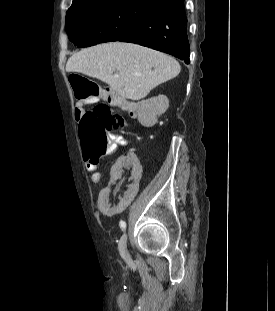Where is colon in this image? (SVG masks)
Returning a JSON list of instances; mask_svg holds the SVG:
<instances>
[{
    "label": "colon",
    "instance_id": "obj_1",
    "mask_svg": "<svg viewBox=\"0 0 275 311\" xmlns=\"http://www.w3.org/2000/svg\"><path fill=\"white\" fill-rule=\"evenodd\" d=\"M70 82L77 102L98 104L94 109L85 111L79 120L80 138L87 157L96 160L115 150L111 132L123 127L125 118L111 107V100L126 103L131 111H137L143 123L149 125L153 122V116L146 114L139 106L123 100L111 90L104 91L85 76L71 74ZM100 97L104 99V102L99 104Z\"/></svg>",
    "mask_w": 275,
    "mask_h": 311
}]
</instances>
